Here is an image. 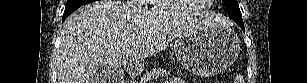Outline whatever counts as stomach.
I'll return each instance as SVG.
<instances>
[{
	"label": "stomach",
	"mask_w": 307,
	"mask_h": 83,
	"mask_svg": "<svg viewBox=\"0 0 307 83\" xmlns=\"http://www.w3.org/2000/svg\"><path fill=\"white\" fill-rule=\"evenodd\" d=\"M174 50L184 68L206 77L222 72L236 60L240 41L231 28L205 26L178 36Z\"/></svg>",
	"instance_id": "obj_1"
}]
</instances>
